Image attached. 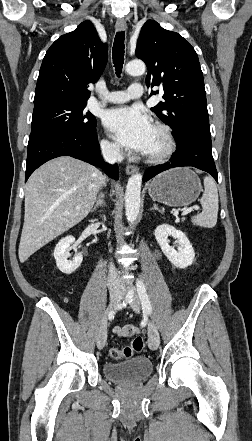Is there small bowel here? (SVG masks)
<instances>
[{"instance_id": "small-bowel-1", "label": "small bowel", "mask_w": 252, "mask_h": 441, "mask_svg": "<svg viewBox=\"0 0 252 441\" xmlns=\"http://www.w3.org/2000/svg\"><path fill=\"white\" fill-rule=\"evenodd\" d=\"M112 332L120 338H130L139 333V329L133 325H125L123 327L115 326Z\"/></svg>"}]
</instances>
